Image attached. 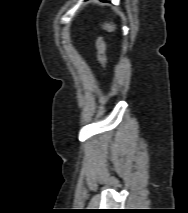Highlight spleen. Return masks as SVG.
Segmentation results:
<instances>
[{
    "label": "spleen",
    "mask_w": 188,
    "mask_h": 213,
    "mask_svg": "<svg viewBox=\"0 0 188 213\" xmlns=\"http://www.w3.org/2000/svg\"><path fill=\"white\" fill-rule=\"evenodd\" d=\"M103 28L109 32H112L115 30V25H113L112 23H105L103 25Z\"/></svg>",
    "instance_id": "obj_1"
}]
</instances>
